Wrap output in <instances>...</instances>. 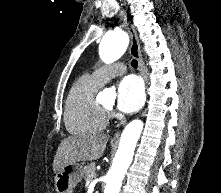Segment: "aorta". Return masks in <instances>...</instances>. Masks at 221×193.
I'll use <instances>...</instances> for the list:
<instances>
[{"mask_svg": "<svg viewBox=\"0 0 221 193\" xmlns=\"http://www.w3.org/2000/svg\"><path fill=\"white\" fill-rule=\"evenodd\" d=\"M129 39L126 32L121 30L108 32L99 47L100 57L106 63L119 59L128 47ZM111 91L105 90L104 95ZM143 130L141 120H133L122 132L119 147L110 170L106 175L104 193H119L122 181L132 162L134 150Z\"/></svg>", "mask_w": 221, "mask_h": 193, "instance_id": "obj_1", "label": "aorta"}]
</instances>
